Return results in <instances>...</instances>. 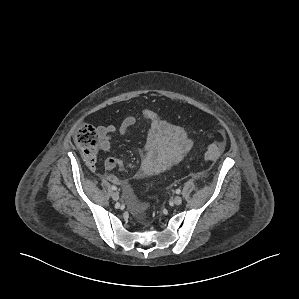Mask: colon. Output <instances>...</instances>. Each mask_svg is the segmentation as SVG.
<instances>
[{
	"label": "colon",
	"instance_id": "obj_1",
	"mask_svg": "<svg viewBox=\"0 0 299 299\" xmlns=\"http://www.w3.org/2000/svg\"><path fill=\"white\" fill-rule=\"evenodd\" d=\"M74 140L86 162L94 165L99 146V135L96 129L89 124H81L75 131ZM224 149V142L212 143L207 147L204 156L207 160H214L223 153Z\"/></svg>",
	"mask_w": 299,
	"mask_h": 299
}]
</instances>
